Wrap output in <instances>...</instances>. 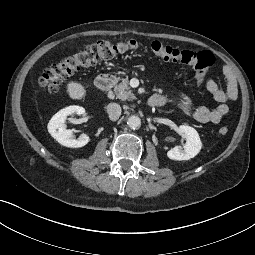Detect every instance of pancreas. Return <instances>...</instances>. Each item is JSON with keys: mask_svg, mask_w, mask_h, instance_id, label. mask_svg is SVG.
<instances>
[{"mask_svg": "<svg viewBox=\"0 0 255 255\" xmlns=\"http://www.w3.org/2000/svg\"><path fill=\"white\" fill-rule=\"evenodd\" d=\"M117 80H121V81H120V83H118L114 86V92H115L116 97L123 101L135 100L136 97L129 86L128 76H126V78H124V79L118 78Z\"/></svg>", "mask_w": 255, "mask_h": 255, "instance_id": "pancreas-1", "label": "pancreas"}]
</instances>
